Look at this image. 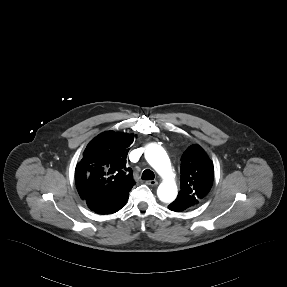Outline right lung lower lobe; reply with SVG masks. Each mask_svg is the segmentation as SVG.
<instances>
[{
  "label": "right lung lower lobe",
  "instance_id": "1",
  "mask_svg": "<svg viewBox=\"0 0 287 287\" xmlns=\"http://www.w3.org/2000/svg\"><path fill=\"white\" fill-rule=\"evenodd\" d=\"M128 193V190L117 189L109 193L86 195L83 199L92 211L98 214H112L125 205Z\"/></svg>",
  "mask_w": 287,
  "mask_h": 287
}]
</instances>
